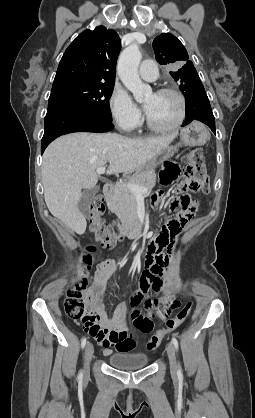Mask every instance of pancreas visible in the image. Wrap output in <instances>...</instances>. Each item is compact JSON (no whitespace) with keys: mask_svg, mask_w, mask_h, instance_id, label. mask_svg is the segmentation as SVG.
Here are the masks:
<instances>
[{"mask_svg":"<svg viewBox=\"0 0 255 418\" xmlns=\"http://www.w3.org/2000/svg\"><path fill=\"white\" fill-rule=\"evenodd\" d=\"M156 174L153 169L137 171L128 179V184H136L150 192L155 186ZM108 207L119 219H137V200L127 186L120 184L108 200Z\"/></svg>","mask_w":255,"mask_h":418,"instance_id":"cf45deb5","label":"pancreas"}]
</instances>
